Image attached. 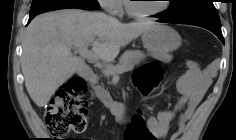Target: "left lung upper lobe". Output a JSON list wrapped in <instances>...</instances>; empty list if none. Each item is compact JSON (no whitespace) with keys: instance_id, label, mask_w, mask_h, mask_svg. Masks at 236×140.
<instances>
[{"instance_id":"obj_1","label":"left lung upper lobe","mask_w":236,"mask_h":140,"mask_svg":"<svg viewBox=\"0 0 236 140\" xmlns=\"http://www.w3.org/2000/svg\"><path fill=\"white\" fill-rule=\"evenodd\" d=\"M162 14L170 21L203 23L221 27L213 0H171Z\"/></svg>"}]
</instances>
